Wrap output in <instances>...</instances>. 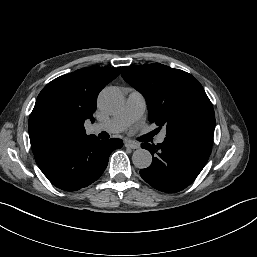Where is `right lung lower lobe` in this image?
Masks as SVG:
<instances>
[{"label":"right lung lower lobe","mask_w":257,"mask_h":257,"mask_svg":"<svg viewBox=\"0 0 257 257\" xmlns=\"http://www.w3.org/2000/svg\"><path fill=\"white\" fill-rule=\"evenodd\" d=\"M120 139H88L63 145L35 158L39 168L57 188L76 191L96 181L104 172L111 152L121 148Z\"/></svg>","instance_id":"right-lung-lower-lobe-1"}]
</instances>
